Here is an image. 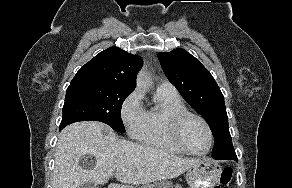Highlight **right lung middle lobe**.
<instances>
[{
    "label": "right lung middle lobe",
    "mask_w": 292,
    "mask_h": 188,
    "mask_svg": "<svg viewBox=\"0 0 292 188\" xmlns=\"http://www.w3.org/2000/svg\"><path fill=\"white\" fill-rule=\"evenodd\" d=\"M131 93L100 83L71 82L66 91L60 127L78 121H100L123 133L121 107Z\"/></svg>",
    "instance_id": "right-lung-middle-lobe-1"
}]
</instances>
